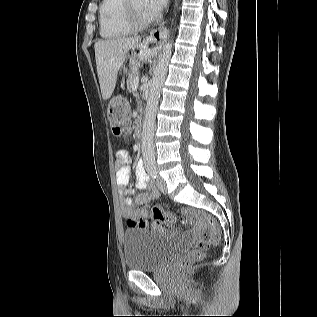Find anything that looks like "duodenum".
<instances>
[{
    "label": "duodenum",
    "mask_w": 317,
    "mask_h": 317,
    "mask_svg": "<svg viewBox=\"0 0 317 317\" xmlns=\"http://www.w3.org/2000/svg\"><path fill=\"white\" fill-rule=\"evenodd\" d=\"M136 130H137V135L140 138L142 136V127H141V125H138Z\"/></svg>",
    "instance_id": "obj_1"
}]
</instances>
